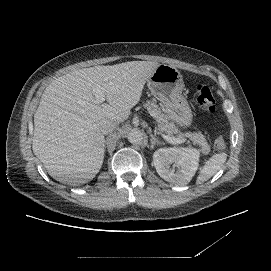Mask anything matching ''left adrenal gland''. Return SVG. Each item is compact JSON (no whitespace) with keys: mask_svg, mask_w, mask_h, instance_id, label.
Masks as SVG:
<instances>
[{"mask_svg":"<svg viewBox=\"0 0 271 271\" xmlns=\"http://www.w3.org/2000/svg\"><path fill=\"white\" fill-rule=\"evenodd\" d=\"M150 137H151V150L153 151L154 150V146L155 145H159V146H162L163 144L160 143L155 137H153L152 134H150Z\"/></svg>","mask_w":271,"mask_h":271,"instance_id":"left-adrenal-gland-1","label":"left adrenal gland"}]
</instances>
